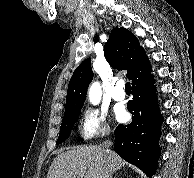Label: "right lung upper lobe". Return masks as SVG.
<instances>
[{
  "label": "right lung upper lobe",
  "mask_w": 194,
  "mask_h": 178,
  "mask_svg": "<svg viewBox=\"0 0 194 178\" xmlns=\"http://www.w3.org/2000/svg\"><path fill=\"white\" fill-rule=\"evenodd\" d=\"M104 54L109 64L118 70H127L132 85L150 77L151 66L138 39L125 28H115L105 43ZM90 58L74 71L68 85L65 113L82 108L93 71Z\"/></svg>",
  "instance_id": "1"
}]
</instances>
